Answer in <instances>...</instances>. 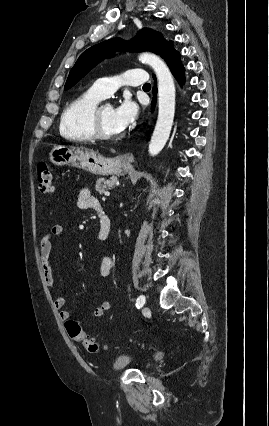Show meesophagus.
<instances>
[{
  "mask_svg": "<svg viewBox=\"0 0 269 426\" xmlns=\"http://www.w3.org/2000/svg\"><path fill=\"white\" fill-rule=\"evenodd\" d=\"M119 158L124 163L131 164L134 160V155H133V153L128 152V153L122 154Z\"/></svg>",
  "mask_w": 269,
  "mask_h": 426,
  "instance_id": "1",
  "label": "esophagus"
}]
</instances>
